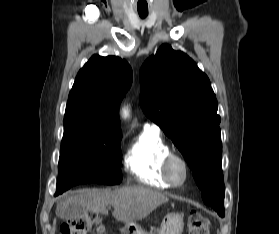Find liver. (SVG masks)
<instances>
[{
  "label": "liver",
  "instance_id": "liver-1",
  "mask_svg": "<svg viewBox=\"0 0 279 234\" xmlns=\"http://www.w3.org/2000/svg\"><path fill=\"white\" fill-rule=\"evenodd\" d=\"M168 202L164 194L142 186H128L118 190L89 189L70 196L57 205V215L70 205H81L88 211L107 215V205H112L113 217L121 222H135L147 217L154 209Z\"/></svg>",
  "mask_w": 279,
  "mask_h": 234
}]
</instances>
